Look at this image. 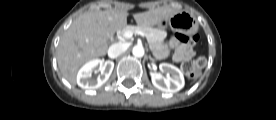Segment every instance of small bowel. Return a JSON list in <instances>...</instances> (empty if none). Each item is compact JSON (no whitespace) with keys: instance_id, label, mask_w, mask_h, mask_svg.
Masks as SVG:
<instances>
[{"instance_id":"1","label":"small bowel","mask_w":276,"mask_h":120,"mask_svg":"<svg viewBox=\"0 0 276 120\" xmlns=\"http://www.w3.org/2000/svg\"><path fill=\"white\" fill-rule=\"evenodd\" d=\"M193 54V49L191 44L182 46L178 51L175 52L174 59L176 61H181L185 56H191Z\"/></svg>"}]
</instances>
